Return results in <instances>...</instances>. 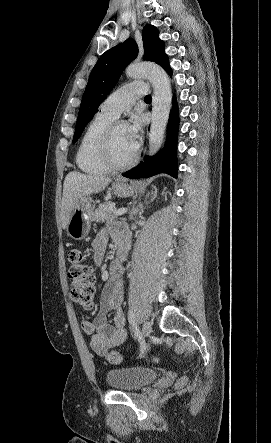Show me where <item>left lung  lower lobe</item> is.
<instances>
[{
	"label": "left lung lower lobe",
	"mask_w": 271,
	"mask_h": 443,
	"mask_svg": "<svg viewBox=\"0 0 271 443\" xmlns=\"http://www.w3.org/2000/svg\"><path fill=\"white\" fill-rule=\"evenodd\" d=\"M157 64L162 66L169 74H172V70L169 65L168 56L164 54ZM179 126V116L176 104L170 114L168 124V137L166 145L161 153L154 157H146L144 162H141L135 168L127 171L123 176L127 178H147L159 173H167L177 178V134Z\"/></svg>",
	"instance_id": "0a47b994"
}]
</instances>
